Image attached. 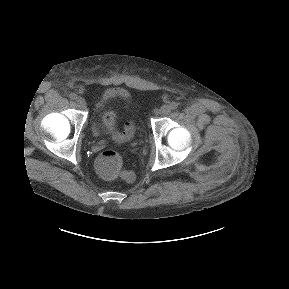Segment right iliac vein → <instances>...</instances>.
<instances>
[{
	"label": "right iliac vein",
	"mask_w": 289,
	"mask_h": 289,
	"mask_svg": "<svg viewBox=\"0 0 289 289\" xmlns=\"http://www.w3.org/2000/svg\"><path fill=\"white\" fill-rule=\"evenodd\" d=\"M76 104L81 107V108H84L86 106V101L84 98L82 97H77L76 98Z\"/></svg>",
	"instance_id": "63e3f726"
}]
</instances>
